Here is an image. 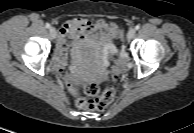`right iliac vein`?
Listing matches in <instances>:
<instances>
[{
  "mask_svg": "<svg viewBox=\"0 0 194 133\" xmlns=\"http://www.w3.org/2000/svg\"><path fill=\"white\" fill-rule=\"evenodd\" d=\"M50 35H51V37H52L53 39L56 38V36H57V30H56V28H54V27H51V28H50Z\"/></svg>",
  "mask_w": 194,
  "mask_h": 133,
  "instance_id": "right-iliac-vein-1",
  "label": "right iliac vein"
}]
</instances>
